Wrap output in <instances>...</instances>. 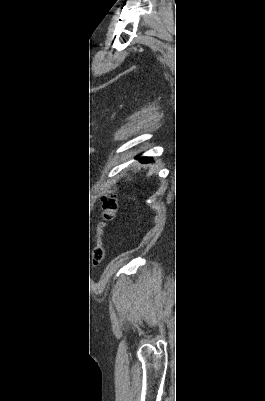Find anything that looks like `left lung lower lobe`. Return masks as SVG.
Returning <instances> with one entry per match:
<instances>
[{"mask_svg": "<svg viewBox=\"0 0 265 401\" xmlns=\"http://www.w3.org/2000/svg\"><path fill=\"white\" fill-rule=\"evenodd\" d=\"M151 160H152V159L149 158V157H145V158H142V159H141L142 162H149V161H151Z\"/></svg>", "mask_w": 265, "mask_h": 401, "instance_id": "obj_1", "label": "left lung lower lobe"}]
</instances>
